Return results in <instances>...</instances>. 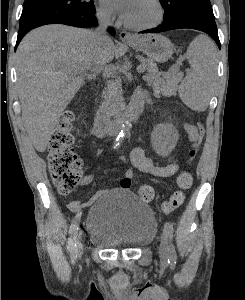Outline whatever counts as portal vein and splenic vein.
<instances>
[{"instance_id": "obj_1", "label": "portal vein and splenic vein", "mask_w": 245, "mask_h": 300, "mask_svg": "<svg viewBox=\"0 0 245 300\" xmlns=\"http://www.w3.org/2000/svg\"><path fill=\"white\" fill-rule=\"evenodd\" d=\"M138 73H143L145 71V66L144 65H139L137 68Z\"/></svg>"}]
</instances>
